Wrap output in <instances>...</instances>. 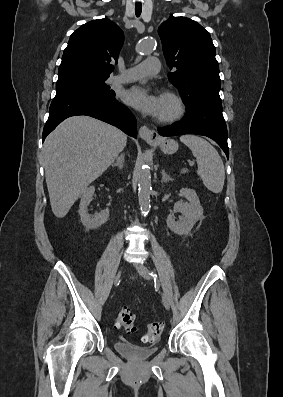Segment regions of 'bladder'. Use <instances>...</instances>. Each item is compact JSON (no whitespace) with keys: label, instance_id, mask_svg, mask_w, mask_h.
Returning <instances> with one entry per match:
<instances>
[{"label":"bladder","instance_id":"bladder-1","mask_svg":"<svg viewBox=\"0 0 283 397\" xmlns=\"http://www.w3.org/2000/svg\"><path fill=\"white\" fill-rule=\"evenodd\" d=\"M114 347L121 355L135 360H145L158 350L156 346L142 347L128 341H118Z\"/></svg>","mask_w":283,"mask_h":397}]
</instances>
